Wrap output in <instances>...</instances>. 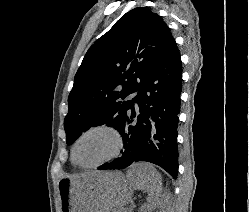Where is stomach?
<instances>
[{
  "mask_svg": "<svg viewBox=\"0 0 249 212\" xmlns=\"http://www.w3.org/2000/svg\"><path fill=\"white\" fill-rule=\"evenodd\" d=\"M135 184H127L124 170H86L58 182L61 212H109L127 204Z\"/></svg>",
  "mask_w": 249,
  "mask_h": 212,
  "instance_id": "1",
  "label": "stomach"
}]
</instances>
